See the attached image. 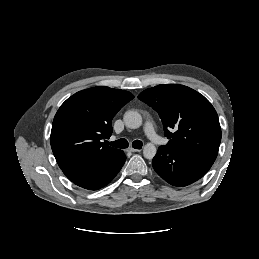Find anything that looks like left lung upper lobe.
<instances>
[{"instance_id":"5c2ea615","label":"left lung upper lobe","mask_w":259,"mask_h":259,"mask_svg":"<svg viewBox=\"0 0 259 259\" xmlns=\"http://www.w3.org/2000/svg\"><path fill=\"white\" fill-rule=\"evenodd\" d=\"M138 98L158 112L169 139L166 147L179 153L217 156L220 123L214 107L203 95L183 85L166 84L146 89Z\"/></svg>"}]
</instances>
